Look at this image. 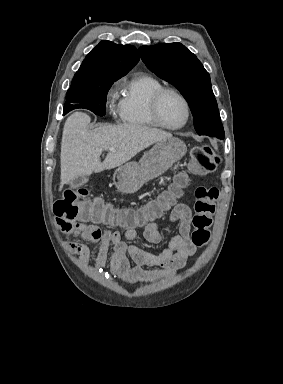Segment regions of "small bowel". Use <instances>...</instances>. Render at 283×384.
Listing matches in <instances>:
<instances>
[{
	"label": "small bowel",
	"instance_id": "obj_1",
	"mask_svg": "<svg viewBox=\"0 0 283 384\" xmlns=\"http://www.w3.org/2000/svg\"><path fill=\"white\" fill-rule=\"evenodd\" d=\"M191 219L192 212L186 204L179 203L173 207L169 220L176 225L177 231L167 238V247L158 254L130 244L136 237L133 228H127L120 233L86 224L65 226L60 220H57V225L63 232L73 234L84 241H69L65 245L70 253L78 256L82 264H86L90 258V249L85 242L99 243L95 261L97 270H101L110 257V270L117 279L124 283L143 285L175 274L185 267L196 253L197 246L190 237ZM144 237L154 244L166 239L154 221L145 225ZM145 266L160 267L162 271H147L143 269Z\"/></svg>",
	"mask_w": 283,
	"mask_h": 384
}]
</instances>
